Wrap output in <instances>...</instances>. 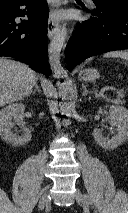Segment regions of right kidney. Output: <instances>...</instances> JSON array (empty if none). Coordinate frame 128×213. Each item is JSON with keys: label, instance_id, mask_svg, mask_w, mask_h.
<instances>
[{"label": "right kidney", "instance_id": "1", "mask_svg": "<svg viewBox=\"0 0 128 213\" xmlns=\"http://www.w3.org/2000/svg\"><path fill=\"white\" fill-rule=\"evenodd\" d=\"M25 106L22 103H12L0 110V135L14 146H24L32 137L31 131L24 127ZM23 127V134L14 133V125Z\"/></svg>", "mask_w": 128, "mask_h": 213}]
</instances>
